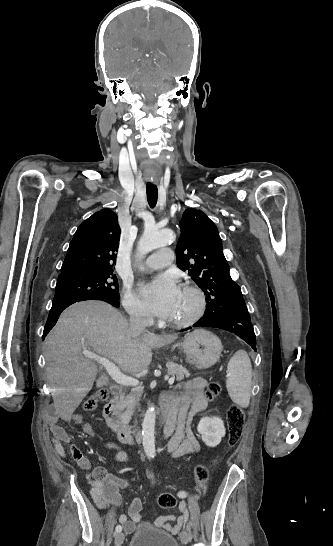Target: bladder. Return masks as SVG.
Listing matches in <instances>:
<instances>
[{
	"mask_svg": "<svg viewBox=\"0 0 333 546\" xmlns=\"http://www.w3.org/2000/svg\"><path fill=\"white\" fill-rule=\"evenodd\" d=\"M128 546H180L177 539L164 530L150 525L138 527Z\"/></svg>",
	"mask_w": 333,
	"mask_h": 546,
	"instance_id": "1",
	"label": "bladder"
}]
</instances>
